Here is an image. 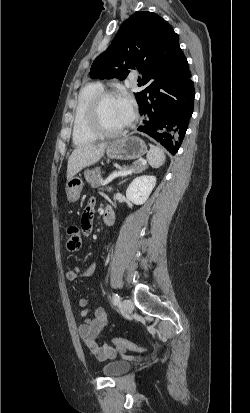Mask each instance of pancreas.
<instances>
[{"instance_id":"pancreas-1","label":"pancreas","mask_w":250,"mask_h":413,"mask_svg":"<svg viewBox=\"0 0 250 413\" xmlns=\"http://www.w3.org/2000/svg\"><path fill=\"white\" fill-rule=\"evenodd\" d=\"M145 166H142L140 163H134L131 166H124L122 170H132L133 173L141 172ZM85 179L91 185V187L95 188L101 184L102 177L100 168L88 169L85 171Z\"/></svg>"}]
</instances>
